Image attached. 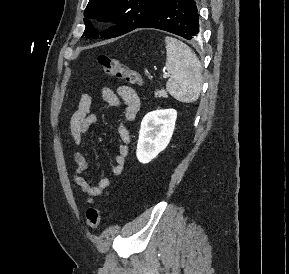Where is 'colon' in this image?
I'll use <instances>...</instances> for the list:
<instances>
[{
    "mask_svg": "<svg viewBox=\"0 0 289 274\" xmlns=\"http://www.w3.org/2000/svg\"><path fill=\"white\" fill-rule=\"evenodd\" d=\"M95 66L106 74L127 81L134 85H143L141 74L122 61L107 55H99L95 60ZM101 222V211L97 207H89L86 212V224L91 229H96Z\"/></svg>",
    "mask_w": 289,
    "mask_h": 274,
    "instance_id": "5ec220e1",
    "label": "colon"
}]
</instances>
